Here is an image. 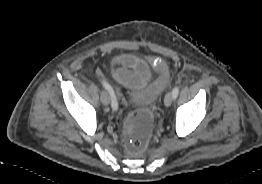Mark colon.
<instances>
[{"mask_svg":"<svg viewBox=\"0 0 262 184\" xmlns=\"http://www.w3.org/2000/svg\"><path fill=\"white\" fill-rule=\"evenodd\" d=\"M153 117L148 111L134 112L128 121L126 145L134 153H141L147 146L152 132Z\"/></svg>","mask_w":262,"mask_h":184,"instance_id":"colon-1","label":"colon"}]
</instances>
